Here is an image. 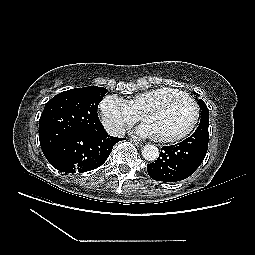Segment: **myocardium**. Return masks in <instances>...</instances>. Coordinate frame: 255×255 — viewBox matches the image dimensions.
<instances>
[{
	"instance_id": "obj_1",
	"label": "myocardium",
	"mask_w": 255,
	"mask_h": 255,
	"mask_svg": "<svg viewBox=\"0 0 255 255\" xmlns=\"http://www.w3.org/2000/svg\"><path fill=\"white\" fill-rule=\"evenodd\" d=\"M175 97L183 98L193 106V109H194L193 119H192L190 125L185 130H183L182 132H180L178 134L171 135V136L155 137V140L158 142H164V143L175 142V141H178V140L186 137L194 130V128L196 127V125L200 119V106L197 103V101L188 93L181 91V90H175V91H172L170 93H167V94L159 97L153 103L148 105L140 114L141 120L144 121V117L147 112L160 107L162 104H164L165 102H167L170 99L175 98Z\"/></svg>"
}]
</instances>
